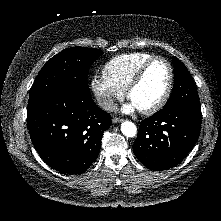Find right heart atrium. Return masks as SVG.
Instances as JSON below:
<instances>
[{
  "instance_id": "right-heart-atrium-1",
  "label": "right heart atrium",
  "mask_w": 221,
  "mask_h": 221,
  "mask_svg": "<svg viewBox=\"0 0 221 221\" xmlns=\"http://www.w3.org/2000/svg\"><path fill=\"white\" fill-rule=\"evenodd\" d=\"M91 89L99 106L104 110H111L116 100L124 95V90L112 83L104 75H95L91 79Z\"/></svg>"
}]
</instances>
